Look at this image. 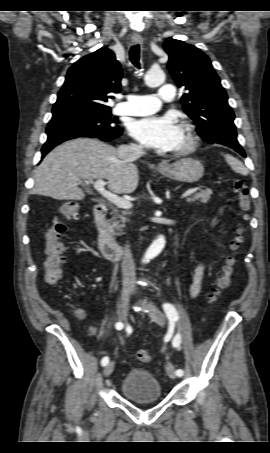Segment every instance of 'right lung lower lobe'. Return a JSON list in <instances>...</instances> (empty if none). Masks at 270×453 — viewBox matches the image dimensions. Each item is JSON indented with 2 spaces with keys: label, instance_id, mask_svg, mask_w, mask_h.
I'll return each instance as SVG.
<instances>
[{
  "label": "right lung lower lobe",
  "instance_id": "1",
  "mask_svg": "<svg viewBox=\"0 0 270 453\" xmlns=\"http://www.w3.org/2000/svg\"><path fill=\"white\" fill-rule=\"evenodd\" d=\"M48 139L42 147V158L58 144L78 137L98 138L102 141H111L121 135L122 129L117 128L110 131L98 130L87 127L72 125L47 126Z\"/></svg>",
  "mask_w": 270,
  "mask_h": 453
}]
</instances>
